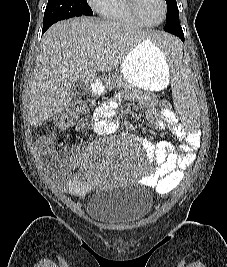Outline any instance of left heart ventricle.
<instances>
[{"instance_id":"obj_1","label":"left heart ventricle","mask_w":227,"mask_h":267,"mask_svg":"<svg viewBox=\"0 0 227 267\" xmlns=\"http://www.w3.org/2000/svg\"><path fill=\"white\" fill-rule=\"evenodd\" d=\"M139 10L148 22L155 23L162 18L161 0H139Z\"/></svg>"}]
</instances>
